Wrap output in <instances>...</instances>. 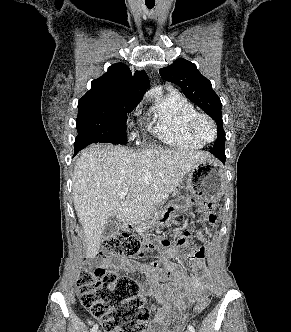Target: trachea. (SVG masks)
I'll return each instance as SVG.
<instances>
[{
	"mask_svg": "<svg viewBox=\"0 0 291 332\" xmlns=\"http://www.w3.org/2000/svg\"><path fill=\"white\" fill-rule=\"evenodd\" d=\"M154 3H146L148 9H152L154 7Z\"/></svg>",
	"mask_w": 291,
	"mask_h": 332,
	"instance_id": "1",
	"label": "trachea"
}]
</instances>
